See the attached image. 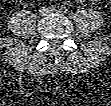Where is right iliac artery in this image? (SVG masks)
<instances>
[{"label": "right iliac artery", "mask_w": 111, "mask_h": 106, "mask_svg": "<svg viewBox=\"0 0 111 106\" xmlns=\"http://www.w3.org/2000/svg\"><path fill=\"white\" fill-rule=\"evenodd\" d=\"M48 10H49V11H54V10H56V6H55V5H50V6L48 7Z\"/></svg>", "instance_id": "obj_1"}]
</instances>
